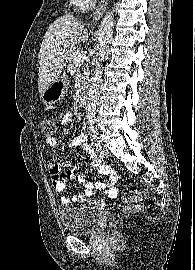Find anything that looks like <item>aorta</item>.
Returning a JSON list of instances; mask_svg holds the SVG:
<instances>
[{
  "instance_id": "762f6f07",
  "label": "aorta",
  "mask_w": 195,
  "mask_h": 270,
  "mask_svg": "<svg viewBox=\"0 0 195 270\" xmlns=\"http://www.w3.org/2000/svg\"><path fill=\"white\" fill-rule=\"evenodd\" d=\"M113 27H114L113 12L109 11L102 19L98 30V41H99L98 60L94 74L91 78V85L89 88V96L86 107L87 116L89 118L95 116V110L99 95V87L102 78L101 62L104 61V59L108 56L109 46L113 36Z\"/></svg>"
}]
</instances>
